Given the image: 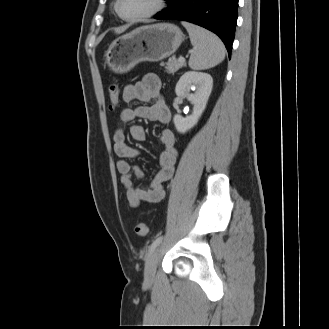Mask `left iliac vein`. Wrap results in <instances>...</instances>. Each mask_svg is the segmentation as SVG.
<instances>
[{"label":"left iliac vein","mask_w":329,"mask_h":329,"mask_svg":"<svg viewBox=\"0 0 329 329\" xmlns=\"http://www.w3.org/2000/svg\"><path fill=\"white\" fill-rule=\"evenodd\" d=\"M158 260V249H154L150 254L145 265V280L146 282H152L155 278L156 267Z\"/></svg>","instance_id":"1"}]
</instances>
